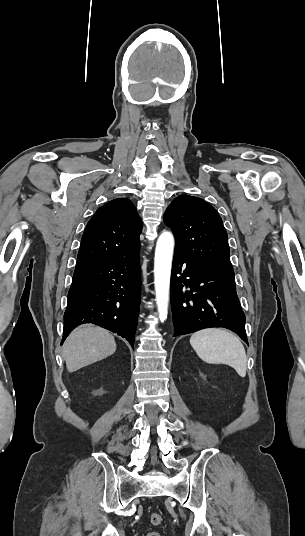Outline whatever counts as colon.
<instances>
[{
  "mask_svg": "<svg viewBox=\"0 0 305 536\" xmlns=\"http://www.w3.org/2000/svg\"><path fill=\"white\" fill-rule=\"evenodd\" d=\"M150 522L154 525H160L162 524L163 522V517L161 514L159 513H155L153 512L151 515H150ZM147 536H158L157 533H153V532H150L147 534Z\"/></svg>",
  "mask_w": 305,
  "mask_h": 536,
  "instance_id": "colon-1",
  "label": "colon"
}]
</instances>
